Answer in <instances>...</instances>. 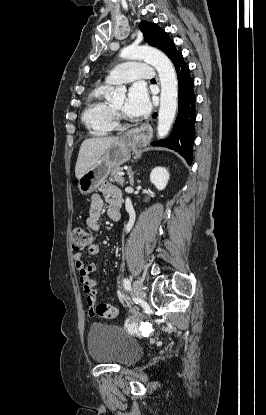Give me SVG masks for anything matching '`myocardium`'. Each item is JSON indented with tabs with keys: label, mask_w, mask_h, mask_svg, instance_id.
Returning a JSON list of instances; mask_svg holds the SVG:
<instances>
[{
	"label": "myocardium",
	"mask_w": 266,
	"mask_h": 415,
	"mask_svg": "<svg viewBox=\"0 0 266 415\" xmlns=\"http://www.w3.org/2000/svg\"><path fill=\"white\" fill-rule=\"evenodd\" d=\"M112 109H113V112H114L115 116H117V118H119L121 120H124V121H127V119L122 114V111L121 110L115 108L114 106H112Z\"/></svg>",
	"instance_id": "f54148a6"
}]
</instances>
